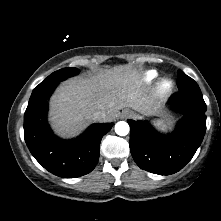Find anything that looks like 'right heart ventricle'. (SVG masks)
<instances>
[{
    "label": "right heart ventricle",
    "mask_w": 221,
    "mask_h": 221,
    "mask_svg": "<svg viewBox=\"0 0 221 221\" xmlns=\"http://www.w3.org/2000/svg\"><path fill=\"white\" fill-rule=\"evenodd\" d=\"M153 77H154L153 73L150 72V73L147 74V79L148 80H151Z\"/></svg>",
    "instance_id": "right-heart-ventricle-1"
}]
</instances>
